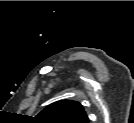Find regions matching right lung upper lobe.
I'll return each instance as SVG.
<instances>
[{
	"mask_svg": "<svg viewBox=\"0 0 134 123\" xmlns=\"http://www.w3.org/2000/svg\"><path fill=\"white\" fill-rule=\"evenodd\" d=\"M34 121L38 123H89L82 105L72 100H61L42 110Z\"/></svg>",
	"mask_w": 134,
	"mask_h": 123,
	"instance_id": "cb5924a9",
	"label": "right lung upper lobe"
}]
</instances>
